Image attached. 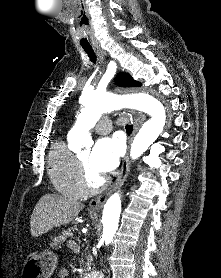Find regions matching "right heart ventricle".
I'll return each mask as SVG.
<instances>
[{
	"label": "right heart ventricle",
	"mask_w": 221,
	"mask_h": 278,
	"mask_svg": "<svg viewBox=\"0 0 221 278\" xmlns=\"http://www.w3.org/2000/svg\"><path fill=\"white\" fill-rule=\"evenodd\" d=\"M47 162L51 183L60 194L74 199H81L85 195L78 157L62 139L52 145Z\"/></svg>",
	"instance_id": "e07e8e85"
}]
</instances>
